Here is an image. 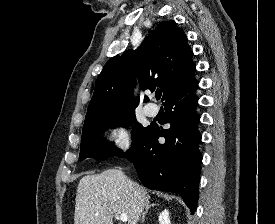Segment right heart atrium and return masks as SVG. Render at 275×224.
<instances>
[{"label":"right heart atrium","mask_w":275,"mask_h":224,"mask_svg":"<svg viewBox=\"0 0 275 224\" xmlns=\"http://www.w3.org/2000/svg\"><path fill=\"white\" fill-rule=\"evenodd\" d=\"M108 140L118 149L126 150L130 146V139L123 126H117L108 132Z\"/></svg>","instance_id":"1"}]
</instances>
